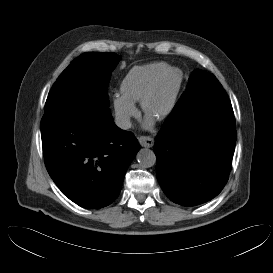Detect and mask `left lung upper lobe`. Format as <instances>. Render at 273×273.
Segmentation results:
<instances>
[{"label": "left lung upper lobe", "mask_w": 273, "mask_h": 273, "mask_svg": "<svg viewBox=\"0 0 273 273\" xmlns=\"http://www.w3.org/2000/svg\"><path fill=\"white\" fill-rule=\"evenodd\" d=\"M214 84L219 86V91H225L216 77L206 72L205 70L196 69L193 71L192 75L189 77V81L186 90L181 95L180 99L176 103L175 107L184 105L187 102L193 100L200 92H208L210 87L208 85Z\"/></svg>", "instance_id": "5c2ea615"}]
</instances>
